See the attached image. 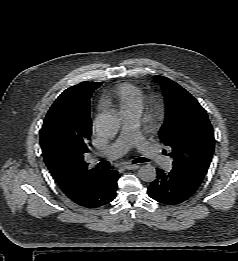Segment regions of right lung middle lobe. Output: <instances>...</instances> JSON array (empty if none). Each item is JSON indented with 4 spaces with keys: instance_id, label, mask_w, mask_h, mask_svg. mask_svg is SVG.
I'll return each mask as SVG.
<instances>
[{
    "instance_id": "obj_1",
    "label": "right lung middle lobe",
    "mask_w": 238,
    "mask_h": 261,
    "mask_svg": "<svg viewBox=\"0 0 238 261\" xmlns=\"http://www.w3.org/2000/svg\"><path fill=\"white\" fill-rule=\"evenodd\" d=\"M71 103L67 96H60L51 106L46 115V120H60L66 118L71 111Z\"/></svg>"
}]
</instances>
